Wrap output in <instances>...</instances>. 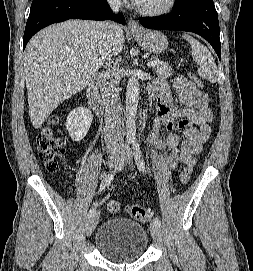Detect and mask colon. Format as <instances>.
I'll list each match as a JSON object with an SVG mask.
<instances>
[{
    "label": "colon",
    "mask_w": 253,
    "mask_h": 271,
    "mask_svg": "<svg viewBox=\"0 0 253 271\" xmlns=\"http://www.w3.org/2000/svg\"><path fill=\"white\" fill-rule=\"evenodd\" d=\"M191 78L198 84L201 82L194 76ZM58 123V118L54 117L51 119V124L55 125ZM37 149L39 157L42 160L45 168L49 172H56L62 160L64 148L62 140L59 135L54 131L52 126H47L38 134L36 139ZM194 167V161L189 162L184 170L180 174L182 182L186 183L189 181ZM121 209V205L118 201H111L107 205V210L111 214H117ZM128 214L135 220L140 222H149L152 214L145 207L139 205H130L128 207Z\"/></svg>",
    "instance_id": "5ec220e1"
}]
</instances>
